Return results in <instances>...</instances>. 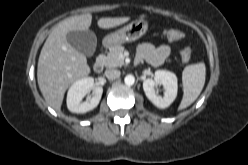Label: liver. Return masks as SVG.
<instances>
[{
    "label": "liver",
    "instance_id": "obj_1",
    "mask_svg": "<svg viewBox=\"0 0 248 165\" xmlns=\"http://www.w3.org/2000/svg\"><path fill=\"white\" fill-rule=\"evenodd\" d=\"M129 19L101 18L97 24L100 28L109 29ZM91 22L90 13L66 18L53 28L42 47L37 67L38 85L46 103L55 110H60L68 87L90 73L85 55L75 50L66 36L73 30H88Z\"/></svg>",
    "mask_w": 248,
    "mask_h": 165
}]
</instances>
